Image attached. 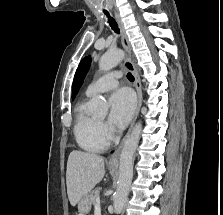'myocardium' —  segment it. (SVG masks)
<instances>
[{
    "instance_id": "myocardium-1",
    "label": "myocardium",
    "mask_w": 223,
    "mask_h": 215,
    "mask_svg": "<svg viewBox=\"0 0 223 215\" xmlns=\"http://www.w3.org/2000/svg\"><path fill=\"white\" fill-rule=\"evenodd\" d=\"M102 133V132H101ZM102 136H103V139L104 140H106L108 143H111V144H113V143H116L117 141H118V136L117 135H112L110 138H107L106 136H105V134H103L102 133Z\"/></svg>"
}]
</instances>
